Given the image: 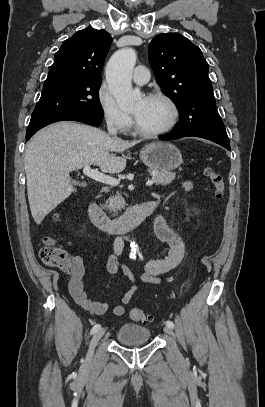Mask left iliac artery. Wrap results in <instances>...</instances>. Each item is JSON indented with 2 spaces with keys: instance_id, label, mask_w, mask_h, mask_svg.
Listing matches in <instances>:
<instances>
[{
  "instance_id": "left-iliac-artery-1",
  "label": "left iliac artery",
  "mask_w": 265,
  "mask_h": 407,
  "mask_svg": "<svg viewBox=\"0 0 265 407\" xmlns=\"http://www.w3.org/2000/svg\"><path fill=\"white\" fill-rule=\"evenodd\" d=\"M166 326L174 328V323L172 321L168 320V321H166Z\"/></svg>"
}]
</instances>
